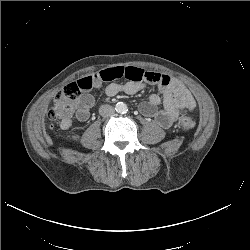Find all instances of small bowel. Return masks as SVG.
<instances>
[{
  "instance_id": "obj_1",
  "label": "small bowel",
  "mask_w": 250,
  "mask_h": 250,
  "mask_svg": "<svg viewBox=\"0 0 250 250\" xmlns=\"http://www.w3.org/2000/svg\"><path fill=\"white\" fill-rule=\"evenodd\" d=\"M78 86L82 95L76 101V118L85 122L90 116V110L95 105V99L90 94L93 89L106 83L105 93L116 96L119 93L129 95L144 89L148 84L157 85L158 94H152L147 102L140 104V112L155 120L162 128L170 127L178 118L181 110H193L196 102L190 91L169 75L147 71L139 67H113L79 79ZM161 107V108H160ZM61 128L71 127V120L61 121Z\"/></svg>"
}]
</instances>
